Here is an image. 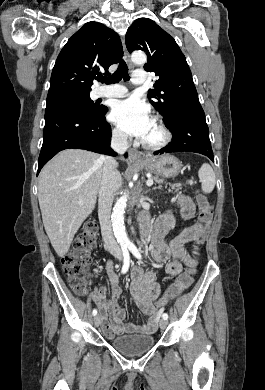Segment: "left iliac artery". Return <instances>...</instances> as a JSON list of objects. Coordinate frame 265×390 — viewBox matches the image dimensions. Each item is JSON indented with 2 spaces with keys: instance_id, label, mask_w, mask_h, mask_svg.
<instances>
[{
  "instance_id": "1",
  "label": "left iliac artery",
  "mask_w": 265,
  "mask_h": 390,
  "mask_svg": "<svg viewBox=\"0 0 265 390\" xmlns=\"http://www.w3.org/2000/svg\"><path fill=\"white\" fill-rule=\"evenodd\" d=\"M128 248H129V250L132 252V254H133L136 258L141 259V254H140L139 250L137 249V247H136L134 244H129V245H128ZM162 318L165 319V320H167V319H168V314H167V313H164V314L162 315Z\"/></svg>"
}]
</instances>
